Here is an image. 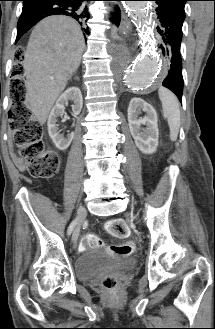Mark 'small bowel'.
Masks as SVG:
<instances>
[{
  "label": "small bowel",
  "mask_w": 215,
  "mask_h": 329,
  "mask_svg": "<svg viewBox=\"0 0 215 329\" xmlns=\"http://www.w3.org/2000/svg\"><path fill=\"white\" fill-rule=\"evenodd\" d=\"M15 161L20 169L24 170L26 168L25 164L22 162V160L19 157H15Z\"/></svg>",
  "instance_id": "small-bowel-1"
}]
</instances>
